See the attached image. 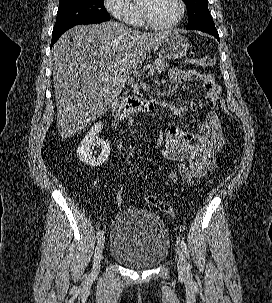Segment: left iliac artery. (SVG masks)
Instances as JSON below:
<instances>
[{"instance_id":"left-iliac-artery-1","label":"left iliac artery","mask_w":272,"mask_h":303,"mask_svg":"<svg viewBox=\"0 0 272 303\" xmlns=\"http://www.w3.org/2000/svg\"><path fill=\"white\" fill-rule=\"evenodd\" d=\"M179 243H180V246H181L183 252L185 253L186 257L189 259L188 268H190L191 267V265H190V256H189V250L187 248V245L182 239L179 240Z\"/></svg>"}]
</instances>
